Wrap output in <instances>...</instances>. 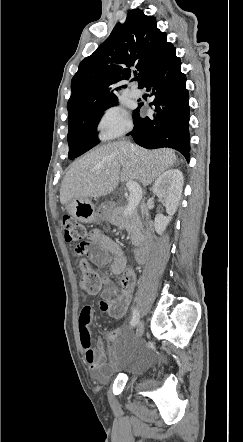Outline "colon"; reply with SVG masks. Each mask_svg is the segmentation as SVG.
I'll use <instances>...</instances> for the list:
<instances>
[{"mask_svg":"<svg viewBox=\"0 0 243 442\" xmlns=\"http://www.w3.org/2000/svg\"><path fill=\"white\" fill-rule=\"evenodd\" d=\"M62 224L66 241L79 243V245L77 243H70L68 250L84 257L88 250L86 228L70 215H64L62 217ZM80 263L82 268V289L88 294H98L104 284L103 278L95 268L89 265L85 258H82Z\"/></svg>","mask_w":243,"mask_h":442,"instance_id":"colon-1","label":"colon"}]
</instances>
